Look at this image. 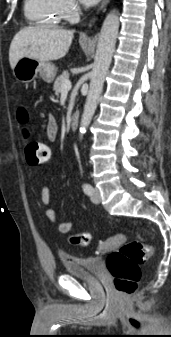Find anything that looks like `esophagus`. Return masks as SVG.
I'll use <instances>...</instances> for the list:
<instances>
[{"mask_svg": "<svg viewBox=\"0 0 171 337\" xmlns=\"http://www.w3.org/2000/svg\"><path fill=\"white\" fill-rule=\"evenodd\" d=\"M110 0H103V2L101 3L100 7H99V10L103 9L108 3H109Z\"/></svg>", "mask_w": 171, "mask_h": 337, "instance_id": "esophagus-1", "label": "esophagus"}]
</instances>
